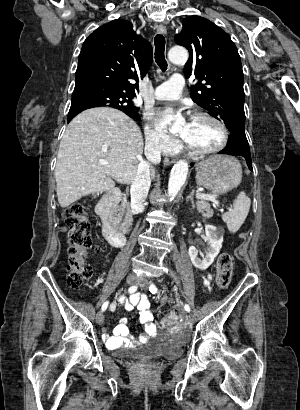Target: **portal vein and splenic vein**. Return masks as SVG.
Masks as SVG:
<instances>
[{
    "label": "portal vein and splenic vein",
    "mask_w": 300,
    "mask_h": 410,
    "mask_svg": "<svg viewBox=\"0 0 300 410\" xmlns=\"http://www.w3.org/2000/svg\"><path fill=\"white\" fill-rule=\"evenodd\" d=\"M99 163L102 165L108 164V162L104 159H100ZM196 198L201 199V200H211L214 201L217 198V195L215 194H202V193H197Z\"/></svg>",
    "instance_id": "1"
}]
</instances>
